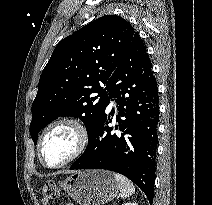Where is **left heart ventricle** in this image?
I'll return each instance as SVG.
<instances>
[{
    "label": "left heart ventricle",
    "instance_id": "obj_1",
    "mask_svg": "<svg viewBox=\"0 0 212 205\" xmlns=\"http://www.w3.org/2000/svg\"><path fill=\"white\" fill-rule=\"evenodd\" d=\"M76 138L68 127H59L50 132L43 148V158L48 164H56L67 158L74 150Z\"/></svg>",
    "mask_w": 212,
    "mask_h": 205
}]
</instances>
